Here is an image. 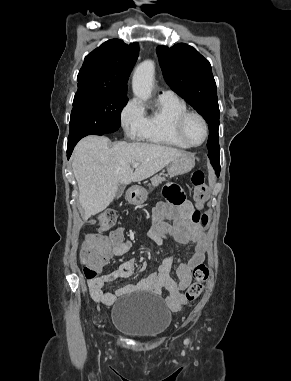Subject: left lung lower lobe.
<instances>
[{
	"label": "left lung lower lobe",
	"instance_id": "0a47b994",
	"mask_svg": "<svg viewBox=\"0 0 291 381\" xmlns=\"http://www.w3.org/2000/svg\"><path fill=\"white\" fill-rule=\"evenodd\" d=\"M211 164L213 165V167L215 169V173L217 174V176H219V174H220V161H211Z\"/></svg>",
	"mask_w": 291,
	"mask_h": 381
}]
</instances>
